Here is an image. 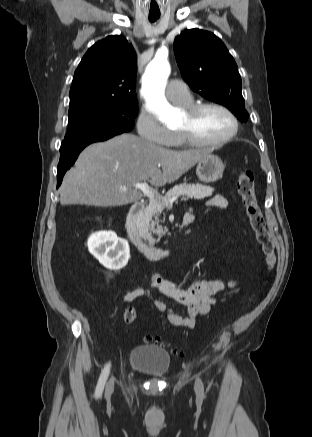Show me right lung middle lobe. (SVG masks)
<instances>
[{"instance_id": "dd1d6c3e", "label": "right lung middle lobe", "mask_w": 312, "mask_h": 437, "mask_svg": "<svg viewBox=\"0 0 312 437\" xmlns=\"http://www.w3.org/2000/svg\"><path fill=\"white\" fill-rule=\"evenodd\" d=\"M137 112L138 103L91 102L70 107L68 132L60 153L131 131Z\"/></svg>"}]
</instances>
